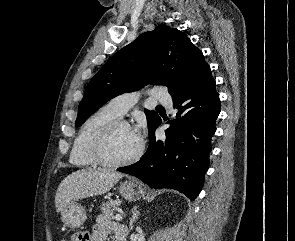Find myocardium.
I'll list each match as a JSON object with an SVG mask.
<instances>
[{"mask_svg": "<svg viewBox=\"0 0 295 241\" xmlns=\"http://www.w3.org/2000/svg\"><path fill=\"white\" fill-rule=\"evenodd\" d=\"M120 126L130 128V125L126 121L118 118L107 124L94 141L92 146V155L98 164L105 167L118 168L131 165L137 162L142 157L145 149V144L141 139L139 140L138 150L133 156L120 161H115L108 157V144L114 131Z\"/></svg>", "mask_w": 295, "mask_h": 241, "instance_id": "obj_1", "label": "myocardium"}]
</instances>
